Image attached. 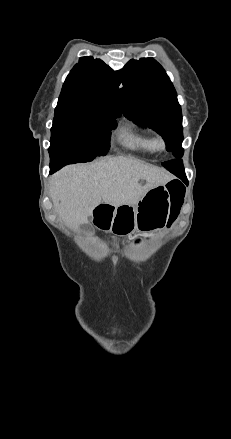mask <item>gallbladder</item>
I'll return each instance as SVG.
<instances>
[{"mask_svg":"<svg viewBox=\"0 0 231 439\" xmlns=\"http://www.w3.org/2000/svg\"><path fill=\"white\" fill-rule=\"evenodd\" d=\"M82 230H83L84 232H88V231H89V227H88L87 225H83V226H82Z\"/></svg>","mask_w":231,"mask_h":439,"instance_id":"1","label":"gallbladder"}]
</instances>
